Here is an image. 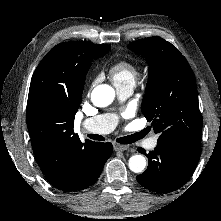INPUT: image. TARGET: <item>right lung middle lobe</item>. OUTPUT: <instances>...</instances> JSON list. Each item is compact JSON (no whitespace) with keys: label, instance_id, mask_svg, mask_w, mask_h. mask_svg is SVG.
<instances>
[{"label":"right lung middle lobe","instance_id":"dd1d6c3e","mask_svg":"<svg viewBox=\"0 0 221 221\" xmlns=\"http://www.w3.org/2000/svg\"><path fill=\"white\" fill-rule=\"evenodd\" d=\"M111 46L109 45H98L89 55L85 56L81 60V64L88 70L91 66V62L94 59L104 56L109 52Z\"/></svg>","mask_w":221,"mask_h":221}]
</instances>
